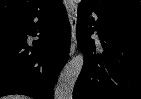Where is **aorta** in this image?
I'll list each match as a JSON object with an SVG mask.
<instances>
[{"mask_svg":"<svg viewBox=\"0 0 141 99\" xmlns=\"http://www.w3.org/2000/svg\"><path fill=\"white\" fill-rule=\"evenodd\" d=\"M84 56L79 53L61 71L55 88V99H72L76 80L82 70Z\"/></svg>","mask_w":141,"mask_h":99,"instance_id":"aorta-1","label":"aorta"}]
</instances>
